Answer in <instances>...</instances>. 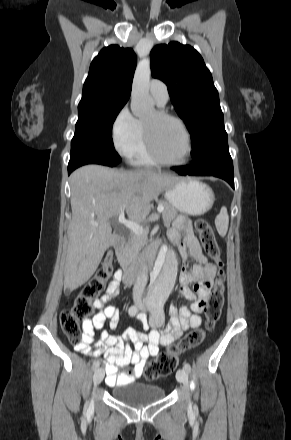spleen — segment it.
Returning a JSON list of instances; mask_svg holds the SVG:
<instances>
[{
  "instance_id": "3e777b00",
  "label": "spleen",
  "mask_w": 291,
  "mask_h": 440,
  "mask_svg": "<svg viewBox=\"0 0 291 440\" xmlns=\"http://www.w3.org/2000/svg\"><path fill=\"white\" fill-rule=\"evenodd\" d=\"M215 225L219 235L224 237L227 233L229 225V216L225 206L221 208L220 213L217 215Z\"/></svg>"
}]
</instances>
